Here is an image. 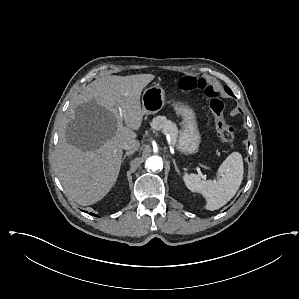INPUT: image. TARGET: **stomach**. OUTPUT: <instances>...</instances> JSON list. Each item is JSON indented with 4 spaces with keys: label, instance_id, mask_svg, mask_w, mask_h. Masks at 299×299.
Masks as SVG:
<instances>
[{
    "label": "stomach",
    "instance_id": "0dacf381",
    "mask_svg": "<svg viewBox=\"0 0 299 299\" xmlns=\"http://www.w3.org/2000/svg\"><path fill=\"white\" fill-rule=\"evenodd\" d=\"M177 115L181 116L182 131L180 132L177 147L184 154H194L198 151L201 136L198 130L196 113L189 105L175 100H169ZM165 105V91L159 84H154L143 92V114L151 115L159 112Z\"/></svg>",
    "mask_w": 299,
    "mask_h": 299
}]
</instances>
